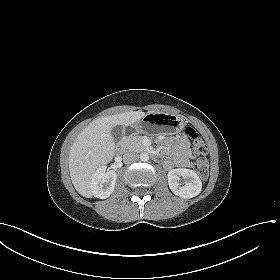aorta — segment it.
<instances>
[{
	"instance_id": "obj_1",
	"label": "aorta",
	"mask_w": 280,
	"mask_h": 280,
	"mask_svg": "<svg viewBox=\"0 0 280 280\" xmlns=\"http://www.w3.org/2000/svg\"><path fill=\"white\" fill-rule=\"evenodd\" d=\"M140 160L146 162L149 160V154L147 152H143L140 154Z\"/></svg>"
}]
</instances>
